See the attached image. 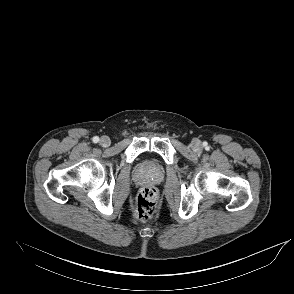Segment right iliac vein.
<instances>
[{
    "label": "right iliac vein",
    "instance_id": "63e3f726",
    "mask_svg": "<svg viewBox=\"0 0 294 294\" xmlns=\"http://www.w3.org/2000/svg\"><path fill=\"white\" fill-rule=\"evenodd\" d=\"M100 144L103 147H108L111 144V140L108 136H102L100 138Z\"/></svg>",
    "mask_w": 294,
    "mask_h": 294
}]
</instances>
